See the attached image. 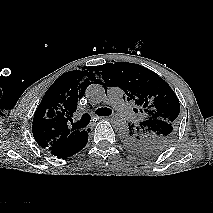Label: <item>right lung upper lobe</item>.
Instances as JSON below:
<instances>
[{"label":"right lung upper lobe","mask_w":213,"mask_h":213,"mask_svg":"<svg viewBox=\"0 0 213 213\" xmlns=\"http://www.w3.org/2000/svg\"><path fill=\"white\" fill-rule=\"evenodd\" d=\"M93 67L61 75L47 90L35 111L32 123L34 139L43 149L52 151L77 139L83 131L68 127L77 101L86 88L97 80Z\"/></svg>","instance_id":"right-lung-upper-lobe-1"}]
</instances>
